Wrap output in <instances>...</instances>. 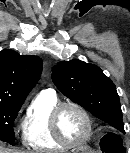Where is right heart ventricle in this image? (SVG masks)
I'll return each mask as SVG.
<instances>
[{
	"instance_id": "e07e8e85",
	"label": "right heart ventricle",
	"mask_w": 130,
	"mask_h": 153,
	"mask_svg": "<svg viewBox=\"0 0 130 153\" xmlns=\"http://www.w3.org/2000/svg\"><path fill=\"white\" fill-rule=\"evenodd\" d=\"M60 103L55 92H40L29 106L23 122V139L25 144L37 152L63 151L67 147L60 144L50 128V114Z\"/></svg>"
}]
</instances>
